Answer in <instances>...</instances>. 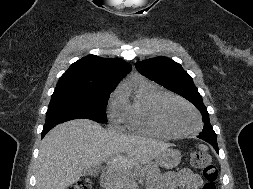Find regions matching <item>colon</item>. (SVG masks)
Wrapping results in <instances>:
<instances>
[{
	"label": "colon",
	"mask_w": 253,
	"mask_h": 189,
	"mask_svg": "<svg viewBox=\"0 0 253 189\" xmlns=\"http://www.w3.org/2000/svg\"><path fill=\"white\" fill-rule=\"evenodd\" d=\"M190 164L198 169L205 178L202 189H216L215 181L218 176V170L211 157L206 152L200 150L193 151L190 154ZM68 189H91V182L87 178H82Z\"/></svg>",
	"instance_id": "obj_1"
}]
</instances>
